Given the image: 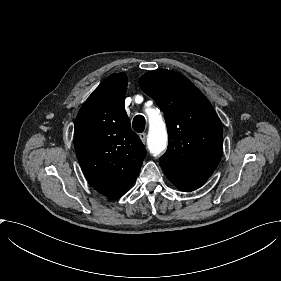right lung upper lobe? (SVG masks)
Masks as SVG:
<instances>
[{
    "label": "right lung upper lobe",
    "instance_id": "obj_1",
    "mask_svg": "<svg viewBox=\"0 0 281 281\" xmlns=\"http://www.w3.org/2000/svg\"><path fill=\"white\" fill-rule=\"evenodd\" d=\"M127 76L107 77L81 107L74 131L77 159L89 184L117 198L137 177L145 148L125 111Z\"/></svg>",
    "mask_w": 281,
    "mask_h": 281
}]
</instances>
